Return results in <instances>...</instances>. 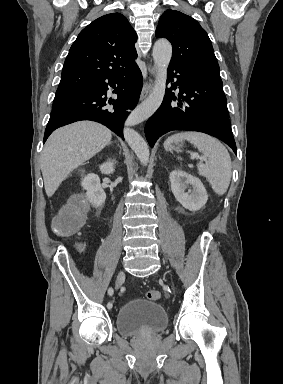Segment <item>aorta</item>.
Segmentation results:
<instances>
[{
	"mask_svg": "<svg viewBox=\"0 0 283 384\" xmlns=\"http://www.w3.org/2000/svg\"><path fill=\"white\" fill-rule=\"evenodd\" d=\"M152 55L157 69L154 87L148 98L129 115L124 128L126 142L144 166L149 162L150 151L145 140L132 127L151 117L163 101L166 89L167 68L172 57L170 42L165 39L157 40L154 44Z\"/></svg>",
	"mask_w": 283,
	"mask_h": 384,
	"instance_id": "1",
	"label": "aorta"
}]
</instances>
